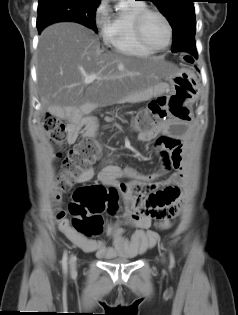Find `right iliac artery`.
<instances>
[{
	"label": "right iliac artery",
	"mask_w": 238,
	"mask_h": 315,
	"mask_svg": "<svg viewBox=\"0 0 238 315\" xmlns=\"http://www.w3.org/2000/svg\"><path fill=\"white\" fill-rule=\"evenodd\" d=\"M67 259H68L67 251H65L62 258V267L65 274L67 273Z\"/></svg>",
	"instance_id": "obj_1"
}]
</instances>
